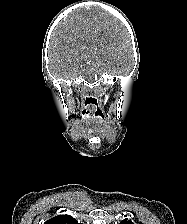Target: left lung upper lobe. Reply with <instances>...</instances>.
I'll return each instance as SVG.
<instances>
[{
  "label": "left lung upper lobe",
  "mask_w": 187,
  "mask_h": 224,
  "mask_svg": "<svg viewBox=\"0 0 187 224\" xmlns=\"http://www.w3.org/2000/svg\"><path fill=\"white\" fill-rule=\"evenodd\" d=\"M120 224H134L131 220H127V219H124L123 221L120 222Z\"/></svg>",
  "instance_id": "obj_1"
}]
</instances>
